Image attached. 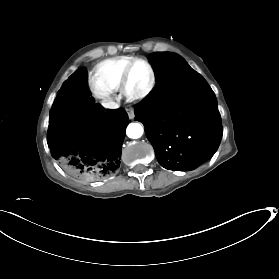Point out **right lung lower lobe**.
<instances>
[{
    "label": "right lung lower lobe",
    "instance_id": "98d812e1",
    "mask_svg": "<svg viewBox=\"0 0 279 279\" xmlns=\"http://www.w3.org/2000/svg\"><path fill=\"white\" fill-rule=\"evenodd\" d=\"M85 68L66 80L52 105L47 142L52 157L70 174L99 179L119 168L128 117L123 108L104 114L95 103Z\"/></svg>",
    "mask_w": 279,
    "mask_h": 279
}]
</instances>
